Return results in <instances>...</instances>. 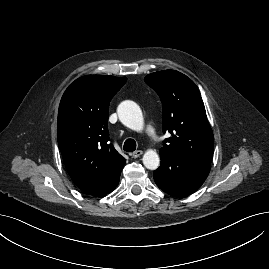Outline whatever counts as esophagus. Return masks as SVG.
I'll return each mask as SVG.
<instances>
[{"label":"esophagus","mask_w":269,"mask_h":269,"mask_svg":"<svg viewBox=\"0 0 269 269\" xmlns=\"http://www.w3.org/2000/svg\"><path fill=\"white\" fill-rule=\"evenodd\" d=\"M142 154H143V151H142V150H137V151L132 152L130 155H131L133 158H138V157H140Z\"/></svg>","instance_id":"obj_1"}]
</instances>
